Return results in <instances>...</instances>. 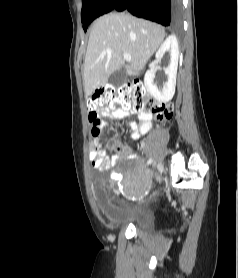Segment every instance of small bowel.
Segmentation results:
<instances>
[{
	"instance_id": "c3829d8e",
	"label": "small bowel",
	"mask_w": 238,
	"mask_h": 278,
	"mask_svg": "<svg viewBox=\"0 0 238 278\" xmlns=\"http://www.w3.org/2000/svg\"><path fill=\"white\" fill-rule=\"evenodd\" d=\"M103 115L111 119H125L129 116V111L123 109H115L113 111H104ZM151 118H152L151 114L143 113L139 115V120L137 122L135 121L129 122L132 139L137 140L142 135H145L150 131ZM109 123L110 122L107 120H104L100 123V125L98 126L100 131L99 136H101L102 130ZM98 137H94L95 140L93 142V147L90 153V159L92 161V165L96 170L100 172H105L111 166H113L116 163V161H118L120 158L126 155L132 157L130 155V150L124 144H122L120 141L116 139H112L109 143V146L114 148V150H116L118 153L112 156L111 158H107L105 156L104 151L101 148V143L98 140ZM117 190H119V188H117Z\"/></svg>"
}]
</instances>
